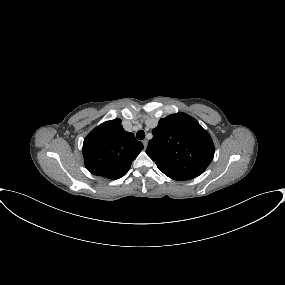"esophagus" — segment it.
Segmentation results:
<instances>
[{
	"label": "esophagus",
	"instance_id": "obj_1",
	"mask_svg": "<svg viewBox=\"0 0 285 285\" xmlns=\"http://www.w3.org/2000/svg\"><path fill=\"white\" fill-rule=\"evenodd\" d=\"M143 145H144V148L146 149L147 148V145H148V141L145 139L142 141Z\"/></svg>",
	"mask_w": 285,
	"mask_h": 285
}]
</instances>
